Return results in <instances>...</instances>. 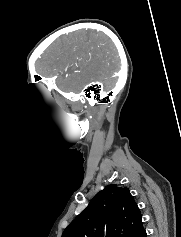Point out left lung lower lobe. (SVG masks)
Segmentation results:
<instances>
[{
	"label": "left lung lower lobe",
	"mask_w": 181,
	"mask_h": 237,
	"mask_svg": "<svg viewBox=\"0 0 181 237\" xmlns=\"http://www.w3.org/2000/svg\"><path fill=\"white\" fill-rule=\"evenodd\" d=\"M137 237H147L146 231L143 230Z\"/></svg>",
	"instance_id": "0a47b994"
}]
</instances>
